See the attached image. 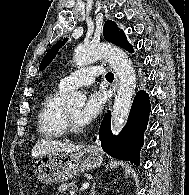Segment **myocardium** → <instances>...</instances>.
<instances>
[{"label": "myocardium", "mask_w": 189, "mask_h": 195, "mask_svg": "<svg viewBox=\"0 0 189 195\" xmlns=\"http://www.w3.org/2000/svg\"><path fill=\"white\" fill-rule=\"evenodd\" d=\"M64 122H65V131L73 134V135H79L82 134L85 129L84 127L78 126L72 119L71 115L67 111V109L64 110Z\"/></svg>", "instance_id": "obj_1"}]
</instances>
